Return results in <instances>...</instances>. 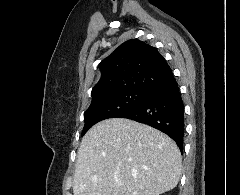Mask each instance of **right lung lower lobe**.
Segmentation results:
<instances>
[{
    "label": "right lung lower lobe",
    "instance_id": "98d812e1",
    "mask_svg": "<svg viewBox=\"0 0 240 195\" xmlns=\"http://www.w3.org/2000/svg\"><path fill=\"white\" fill-rule=\"evenodd\" d=\"M119 118L150 125L172 138L183 150L184 104L174 76L150 88L143 101Z\"/></svg>",
    "mask_w": 240,
    "mask_h": 195
}]
</instances>
